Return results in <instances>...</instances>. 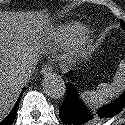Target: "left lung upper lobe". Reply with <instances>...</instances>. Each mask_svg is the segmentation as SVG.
Returning <instances> with one entry per match:
<instances>
[{"label": "left lung upper lobe", "mask_w": 125, "mask_h": 125, "mask_svg": "<svg viewBox=\"0 0 125 125\" xmlns=\"http://www.w3.org/2000/svg\"><path fill=\"white\" fill-rule=\"evenodd\" d=\"M121 26L125 29V23H124V21H121Z\"/></svg>", "instance_id": "1"}]
</instances>
